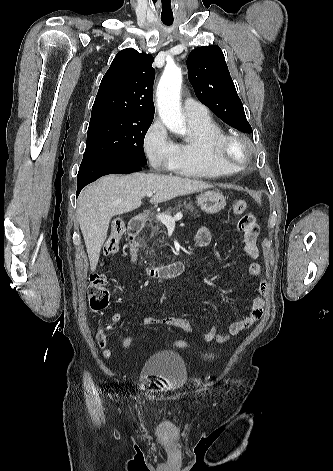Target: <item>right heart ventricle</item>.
<instances>
[{
  "label": "right heart ventricle",
  "instance_id": "right-heart-ventricle-1",
  "mask_svg": "<svg viewBox=\"0 0 333 471\" xmlns=\"http://www.w3.org/2000/svg\"><path fill=\"white\" fill-rule=\"evenodd\" d=\"M192 135L176 143L170 165L176 174L194 178H217L232 174L236 169L223 164L217 157V147L227 136L223 127L209 114L188 119Z\"/></svg>",
  "mask_w": 333,
  "mask_h": 471
}]
</instances>
